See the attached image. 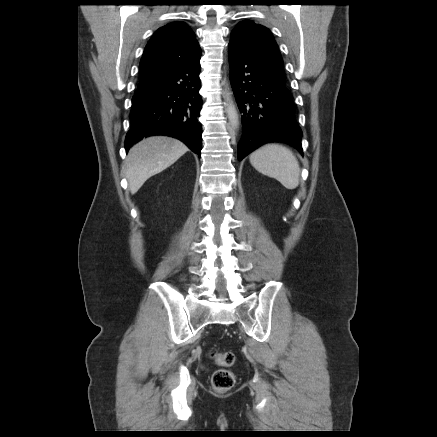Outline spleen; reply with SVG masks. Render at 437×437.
Here are the masks:
<instances>
[{
	"label": "spleen",
	"instance_id": "1",
	"mask_svg": "<svg viewBox=\"0 0 437 437\" xmlns=\"http://www.w3.org/2000/svg\"><path fill=\"white\" fill-rule=\"evenodd\" d=\"M251 165L260 173L275 178L286 189L298 187L299 162L287 147L280 144H266L251 153Z\"/></svg>",
	"mask_w": 437,
	"mask_h": 437
}]
</instances>
